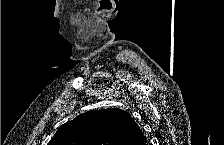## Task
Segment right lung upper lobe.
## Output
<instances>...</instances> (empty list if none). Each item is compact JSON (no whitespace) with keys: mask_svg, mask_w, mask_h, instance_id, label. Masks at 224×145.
Listing matches in <instances>:
<instances>
[{"mask_svg":"<svg viewBox=\"0 0 224 145\" xmlns=\"http://www.w3.org/2000/svg\"><path fill=\"white\" fill-rule=\"evenodd\" d=\"M48 145H146V140L126 111L109 108L86 112L60 126Z\"/></svg>","mask_w":224,"mask_h":145,"instance_id":"obj_1","label":"right lung upper lobe"}]
</instances>
